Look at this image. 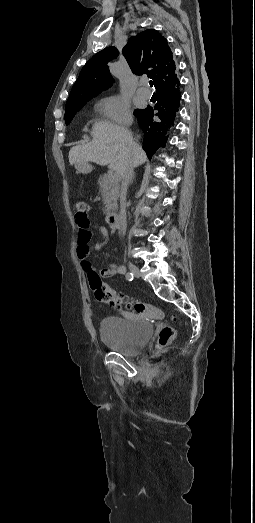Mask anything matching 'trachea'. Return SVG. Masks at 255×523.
<instances>
[{
  "label": "trachea",
  "mask_w": 255,
  "mask_h": 523,
  "mask_svg": "<svg viewBox=\"0 0 255 523\" xmlns=\"http://www.w3.org/2000/svg\"><path fill=\"white\" fill-rule=\"evenodd\" d=\"M149 83H150V86L153 87V84H154V83H153L151 80H150Z\"/></svg>",
  "instance_id": "1"
}]
</instances>
